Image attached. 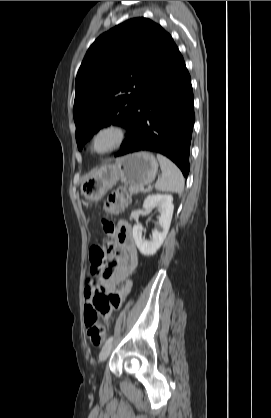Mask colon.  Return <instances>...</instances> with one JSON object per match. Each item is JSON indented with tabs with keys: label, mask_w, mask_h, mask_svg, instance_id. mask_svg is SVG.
Returning a JSON list of instances; mask_svg holds the SVG:
<instances>
[{
	"label": "colon",
	"mask_w": 271,
	"mask_h": 418,
	"mask_svg": "<svg viewBox=\"0 0 271 418\" xmlns=\"http://www.w3.org/2000/svg\"><path fill=\"white\" fill-rule=\"evenodd\" d=\"M129 202V195L124 188L115 190L107 199L104 204L106 212L116 214L121 212ZM102 230L105 234L111 235L114 231L113 224L102 218L100 221ZM113 247L110 243H106L104 246H95L90 250V259L92 262L91 271L93 274H103V278L108 277L111 274V268L115 266V262L112 261L109 268H105V253L112 250ZM110 300L102 292L98 291L94 298V305L92 308L85 311V324L87 327V335L89 341L99 346L106 335V330L101 322V316L103 312L108 308Z\"/></svg>",
	"instance_id": "5ec220e1"
}]
</instances>
